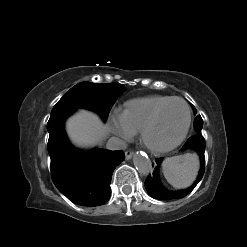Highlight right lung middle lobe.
<instances>
[{
  "mask_svg": "<svg viewBox=\"0 0 247 247\" xmlns=\"http://www.w3.org/2000/svg\"><path fill=\"white\" fill-rule=\"evenodd\" d=\"M125 89V86L119 83L81 82L63 95L52 109L51 115L87 108L96 111L106 120L112 105Z\"/></svg>",
  "mask_w": 247,
  "mask_h": 247,
  "instance_id": "obj_1",
  "label": "right lung middle lobe"
}]
</instances>
